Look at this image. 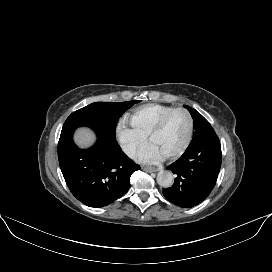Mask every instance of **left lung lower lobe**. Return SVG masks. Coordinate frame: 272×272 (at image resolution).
<instances>
[{"mask_svg": "<svg viewBox=\"0 0 272 272\" xmlns=\"http://www.w3.org/2000/svg\"><path fill=\"white\" fill-rule=\"evenodd\" d=\"M221 145L218 136L188 146L184 154L168 169L176 174L172 187L163 195L182 208L198 205L212 191L221 167Z\"/></svg>", "mask_w": 272, "mask_h": 272, "instance_id": "obj_1", "label": "left lung lower lobe"}]
</instances>
